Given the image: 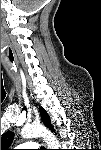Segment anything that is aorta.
Returning <instances> with one entry per match:
<instances>
[{
    "instance_id": "obj_1",
    "label": "aorta",
    "mask_w": 101,
    "mask_h": 150,
    "mask_svg": "<svg viewBox=\"0 0 101 150\" xmlns=\"http://www.w3.org/2000/svg\"><path fill=\"white\" fill-rule=\"evenodd\" d=\"M21 135L23 138L42 137L50 149H57V147H59L57 138L40 124L25 126L21 131Z\"/></svg>"
}]
</instances>
